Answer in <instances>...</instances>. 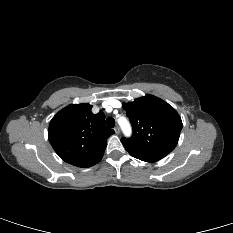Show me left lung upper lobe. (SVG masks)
<instances>
[{"instance_id": "left-lung-upper-lobe-1", "label": "left lung upper lobe", "mask_w": 233, "mask_h": 233, "mask_svg": "<svg viewBox=\"0 0 233 233\" xmlns=\"http://www.w3.org/2000/svg\"><path fill=\"white\" fill-rule=\"evenodd\" d=\"M123 108L133 127L132 137L121 139L128 152L166 156L175 148L182 121L172 106L148 95L123 103Z\"/></svg>"}]
</instances>
